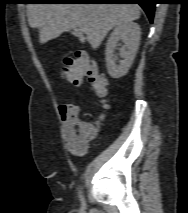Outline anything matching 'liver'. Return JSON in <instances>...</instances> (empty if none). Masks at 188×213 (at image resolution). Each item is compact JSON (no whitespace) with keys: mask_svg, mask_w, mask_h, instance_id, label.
<instances>
[{"mask_svg":"<svg viewBox=\"0 0 188 213\" xmlns=\"http://www.w3.org/2000/svg\"><path fill=\"white\" fill-rule=\"evenodd\" d=\"M30 27L39 30V42L45 44L65 31L88 41L97 49L108 32L116 25L140 17L136 4H29Z\"/></svg>","mask_w":188,"mask_h":213,"instance_id":"obj_1","label":"liver"}]
</instances>
